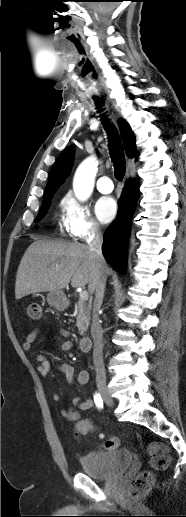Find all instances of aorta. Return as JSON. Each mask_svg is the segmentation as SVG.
I'll list each match as a JSON object with an SVG mask.
<instances>
[{
  "mask_svg": "<svg viewBox=\"0 0 186 517\" xmlns=\"http://www.w3.org/2000/svg\"><path fill=\"white\" fill-rule=\"evenodd\" d=\"M97 166L98 161L89 157L79 165L75 172L73 190L75 196L81 201L87 200L93 192Z\"/></svg>",
  "mask_w": 186,
  "mask_h": 517,
  "instance_id": "aorta-1",
  "label": "aorta"
}]
</instances>
